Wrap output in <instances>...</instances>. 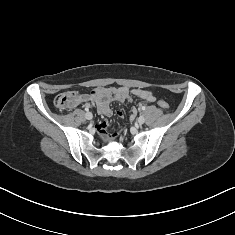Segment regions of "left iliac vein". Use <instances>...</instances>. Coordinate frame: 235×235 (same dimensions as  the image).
<instances>
[{
    "label": "left iliac vein",
    "mask_w": 235,
    "mask_h": 235,
    "mask_svg": "<svg viewBox=\"0 0 235 235\" xmlns=\"http://www.w3.org/2000/svg\"><path fill=\"white\" fill-rule=\"evenodd\" d=\"M145 122V118H144V116H140L138 119H137V123L138 124H143Z\"/></svg>",
    "instance_id": "left-iliac-vein-1"
}]
</instances>
